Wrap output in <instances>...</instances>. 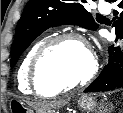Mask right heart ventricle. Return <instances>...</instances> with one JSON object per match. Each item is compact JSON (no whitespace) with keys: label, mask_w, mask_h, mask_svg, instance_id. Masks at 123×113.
I'll return each mask as SVG.
<instances>
[{"label":"right heart ventricle","mask_w":123,"mask_h":113,"mask_svg":"<svg viewBox=\"0 0 123 113\" xmlns=\"http://www.w3.org/2000/svg\"><path fill=\"white\" fill-rule=\"evenodd\" d=\"M43 42L44 40L38 41L29 49V51L24 56L18 68L16 78H17L18 87L21 91L31 90L38 95L48 97L57 94V92H44V93L38 92L31 86L29 82V74H28L32 57L34 56L36 50L42 45Z\"/></svg>","instance_id":"1"}]
</instances>
